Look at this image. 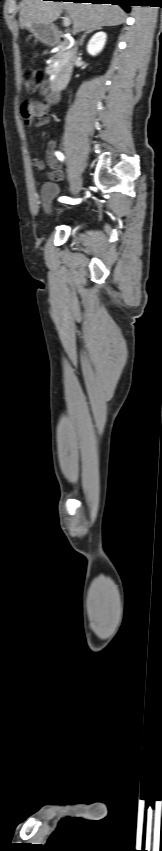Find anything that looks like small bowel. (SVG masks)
<instances>
[{
    "label": "small bowel",
    "mask_w": 162,
    "mask_h": 851,
    "mask_svg": "<svg viewBox=\"0 0 162 851\" xmlns=\"http://www.w3.org/2000/svg\"><path fill=\"white\" fill-rule=\"evenodd\" d=\"M50 86L54 87L55 83L51 82ZM41 94L45 97L44 101L33 100L28 103H24L21 106V114L28 125H30L33 120H36V126H43L47 124L49 122V113L52 107L59 102V99L64 97V92L62 90H57L55 94H52V89L49 86L42 87ZM55 144V140H52L49 143L50 147H54ZM33 166L38 170H44L46 166H49L53 170L49 174L51 178H60L62 176L58 161L51 151L47 153L45 161L40 158H34Z\"/></svg>",
    "instance_id": "1"
}]
</instances>
